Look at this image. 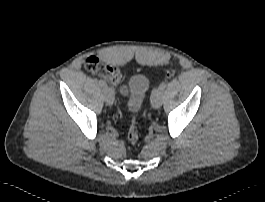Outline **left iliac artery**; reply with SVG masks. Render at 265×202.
I'll list each match as a JSON object with an SVG mask.
<instances>
[{
	"label": "left iliac artery",
	"instance_id": "obj_1",
	"mask_svg": "<svg viewBox=\"0 0 265 202\" xmlns=\"http://www.w3.org/2000/svg\"><path fill=\"white\" fill-rule=\"evenodd\" d=\"M167 84L166 82H162L158 88L154 89L152 92V97L156 94V93H163L165 88H166Z\"/></svg>",
	"mask_w": 265,
	"mask_h": 202
}]
</instances>
